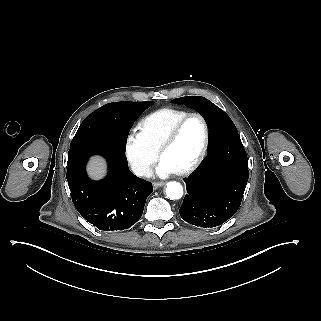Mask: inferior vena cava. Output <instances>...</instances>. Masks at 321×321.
I'll list each match as a JSON object with an SVG mask.
<instances>
[{
  "mask_svg": "<svg viewBox=\"0 0 321 321\" xmlns=\"http://www.w3.org/2000/svg\"><path fill=\"white\" fill-rule=\"evenodd\" d=\"M131 168L133 173L137 176H145L149 178L153 174L152 168L147 165H133Z\"/></svg>",
  "mask_w": 321,
  "mask_h": 321,
  "instance_id": "1",
  "label": "inferior vena cava"
}]
</instances>
